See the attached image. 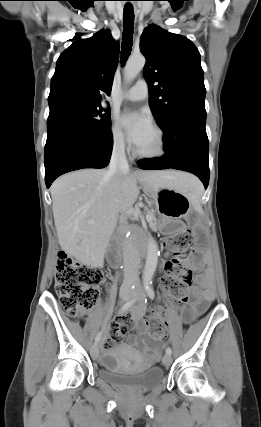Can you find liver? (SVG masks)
<instances>
[{
  "label": "liver",
  "instance_id": "6515ba94",
  "mask_svg": "<svg viewBox=\"0 0 261 427\" xmlns=\"http://www.w3.org/2000/svg\"><path fill=\"white\" fill-rule=\"evenodd\" d=\"M107 172L77 170L61 176L51 186L59 245L85 264H103L119 214L131 208L139 196L137 183L153 197L164 187L188 194L190 182L197 180L173 170L127 172L122 176H108Z\"/></svg>",
  "mask_w": 261,
  "mask_h": 427
}]
</instances>
